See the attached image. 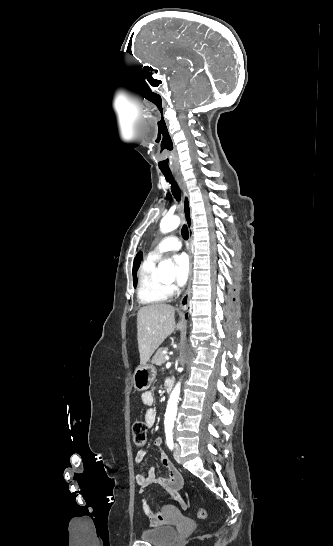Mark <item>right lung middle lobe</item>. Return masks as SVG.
Segmentation results:
<instances>
[{
	"instance_id": "1",
	"label": "right lung middle lobe",
	"mask_w": 333,
	"mask_h": 546,
	"mask_svg": "<svg viewBox=\"0 0 333 546\" xmlns=\"http://www.w3.org/2000/svg\"><path fill=\"white\" fill-rule=\"evenodd\" d=\"M138 269V264H133V277H135L136 270ZM134 280V278H133ZM134 287H136V281L134 280Z\"/></svg>"
}]
</instances>
